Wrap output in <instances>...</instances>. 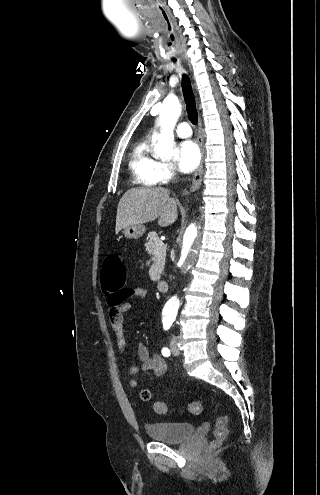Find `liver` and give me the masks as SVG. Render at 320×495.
I'll return each mask as SVG.
<instances>
[{
	"mask_svg": "<svg viewBox=\"0 0 320 495\" xmlns=\"http://www.w3.org/2000/svg\"><path fill=\"white\" fill-rule=\"evenodd\" d=\"M177 201L169 197L165 188H134L128 190L120 199L115 233L129 225L144 224L158 220L166 227L177 220Z\"/></svg>",
	"mask_w": 320,
	"mask_h": 495,
	"instance_id": "6515ba94",
	"label": "liver"
}]
</instances>
